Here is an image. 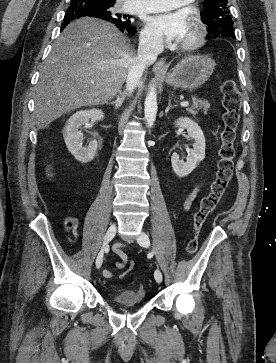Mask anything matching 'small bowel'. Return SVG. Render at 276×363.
I'll use <instances>...</instances> for the list:
<instances>
[{"instance_id": "small-bowel-1", "label": "small bowel", "mask_w": 276, "mask_h": 363, "mask_svg": "<svg viewBox=\"0 0 276 363\" xmlns=\"http://www.w3.org/2000/svg\"><path fill=\"white\" fill-rule=\"evenodd\" d=\"M198 191L199 188H196L188 194L183 204L185 210H189L191 208L193 201L197 197ZM124 247V243H117L113 247V252L118 256V261L116 262V267L118 269H123L128 262V257L123 250ZM103 276L106 278H112L114 276V273L109 269H105L103 271Z\"/></svg>"}]
</instances>
